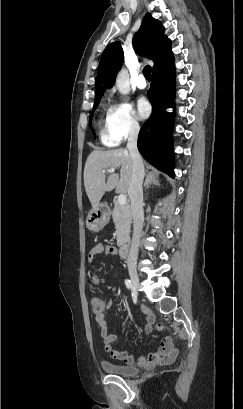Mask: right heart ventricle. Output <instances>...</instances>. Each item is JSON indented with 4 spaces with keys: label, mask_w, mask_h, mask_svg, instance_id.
I'll list each match as a JSON object with an SVG mask.
<instances>
[{
    "label": "right heart ventricle",
    "mask_w": 243,
    "mask_h": 409,
    "mask_svg": "<svg viewBox=\"0 0 243 409\" xmlns=\"http://www.w3.org/2000/svg\"><path fill=\"white\" fill-rule=\"evenodd\" d=\"M101 141L103 144L111 147L114 146L117 141L109 134L108 131L102 130L101 132Z\"/></svg>",
    "instance_id": "obj_1"
}]
</instances>
